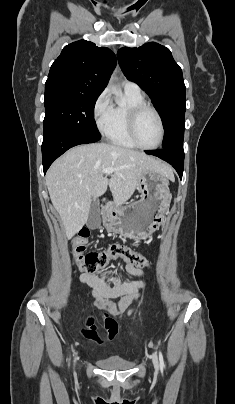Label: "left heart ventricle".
<instances>
[{
  "label": "left heart ventricle",
  "instance_id": "obj_1",
  "mask_svg": "<svg viewBox=\"0 0 235 404\" xmlns=\"http://www.w3.org/2000/svg\"><path fill=\"white\" fill-rule=\"evenodd\" d=\"M136 134L139 142L145 146H153L158 142L160 137L159 122L151 111H145L140 115Z\"/></svg>",
  "mask_w": 235,
  "mask_h": 404
}]
</instances>
